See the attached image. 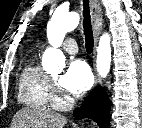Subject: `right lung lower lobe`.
<instances>
[{"instance_id":"1","label":"right lung lower lobe","mask_w":142,"mask_h":128,"mask_svg":"<svg viewBox=\"0 0 142 128\" xmlns=\"http://www.w3.org/2000/svg\"><path fill=\"white\" fill-rule=\"evenodd\" d=\"M74 116L77 120L91 118L98 123L100 128H108L110 101L104 89L96 87L83 101L81 107L75 110Z\"/></svg>"}]
</instances>
